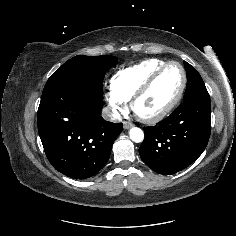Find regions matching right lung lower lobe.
<instances>
[{"instance_id":"98d812e1","label":"right lung lower lobe","mask_w":236,"mask_h":236,"mask_svg":"<svg viewBox=\"0 0 236 236\" xmlns=\"http://www.w3.org/2000/svg\"><path fill=\"white\" fill-rule=\"evenodd\" d=\"M103 98L81 84L42 94L38 132L52 166L75 179L94 176L108 161L122 123L100 116Z\"/></svg>"}]
</instances>
